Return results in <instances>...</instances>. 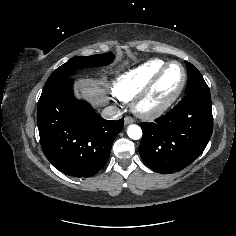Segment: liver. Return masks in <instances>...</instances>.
<instances>
[{"instance_id":"6515ba94","label":"liver","mask_w":236,"mask_h":236,"mask_svg":"<svg viewBox=\"0 0 236 236\" xmlns=\"http://www.w3.org/2000/svg\"><path fill=\"white\" fill-rule=\"evenodd\" d=\"M77 90L80 92L81 97L86 98L94 105H100L105 101L104 90H101L94 80H78Z\"/></svg>"}]
</instances>
